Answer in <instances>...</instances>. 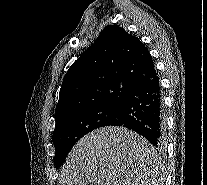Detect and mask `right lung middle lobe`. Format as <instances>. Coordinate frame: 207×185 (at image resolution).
<instances>
[{
  "label": "right lung middle lobe",
  "mask_w": 207,
  "mask_h": 185,
  "mask_svg": "<svg viewBox=\"0 0 207 185\" xmlns=\"http://www.w3.org/2000/svg\"><path fill=\"white\" fill-rule=\"evenodd\" d=\"M121 104H104L90 108L56 123L53 142L56 148L54 166L63 165L73 145L88 132L115 120Z\"/></svg>",
  "instance_id": "obj_1"
}]
</instances>
